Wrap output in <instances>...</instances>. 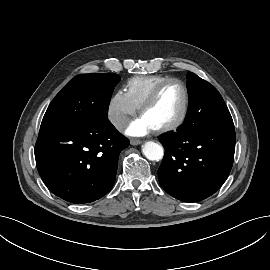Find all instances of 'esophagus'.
Here are the masks:
<instances>
[{
    "label": "esophagus",
    "mask_w": 270,
    "mask_h": 270,
    "mask_svg": "<svg viewBox=\"0 0 270 270\" xmlns=\"http://www.w3.org/2000/svg\"><path fill=\"white\" fill-rule=\"evenodd\" d=\"M142 142L139 140V139H131L130 140V144L131 145H139L141 144Z\"/></svg>",
    "instance_id": "1"
}]
</instances>
